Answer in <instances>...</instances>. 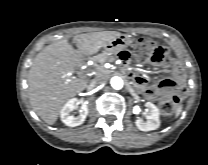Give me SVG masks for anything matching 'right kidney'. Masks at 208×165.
I'll list each match as a JSON object with an SVG mask.
<instances>
[{"mask_svg": "<svg viewBox=\"0 0 208 165\" xmlns=\"http://www.w3.org/2000/svg\"><path fill=\"white\" fill-rule=\"evenodd\" d=\"M78 106V100L76 98L70 99L61 109L60 117L61 121L70 127H75L81 125L87 115H88V106L83 103L80 107L79 115L73 116L72 111Z\"/></svg>", "mask_w": 208, "mask_h": 165, "instance_id": "right-kidney-1", "label": "right kidney"}]
</instances>
